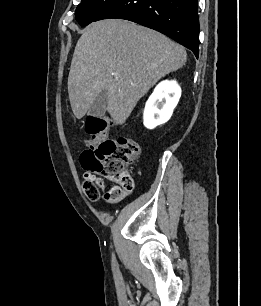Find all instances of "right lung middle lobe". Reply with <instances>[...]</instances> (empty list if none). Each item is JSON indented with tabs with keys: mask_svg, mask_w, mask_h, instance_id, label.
Segmentation results:
<instances>
[{
	"mask_svg": "<svg viewBox=\"0 0 261 306\" xmlns=\"http://www.w3.org/2000/svg\"><path fill=\"white\" fill-rule=\"evenodd\" d=\"M115 0H82L75 11V18L81 26L93 22Z\"/></svg>",
	"mask_w": 261,
	"mask_h": 306,
	"instance_id": "obj_1",
	"label": "right lung middle lobe"
}]
</instances>
